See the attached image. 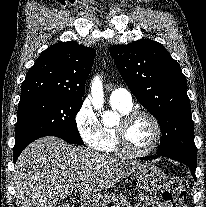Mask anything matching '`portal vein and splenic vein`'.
Here are the masks:
<instances>
[{"label": "portal vein and splenic vein", "instance_id": "portal-vein-and-splenic-vein-1", "mask_svg": "<svg viewBox=\"0 0 206 207\" xmlns=\"http://www.w3.org/2000/svg\"><path fill=\"white\" fill-rule=\"evenodd\" d=\"M76 187H77V188H79V187H80V185H76Z\"/></svg>", "mask_w": 206, "mask_h": 207}]
</instances>
